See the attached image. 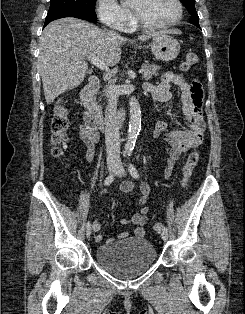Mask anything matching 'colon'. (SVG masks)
I'll return each instance as SVG.
<instances>
[{"mask_svg": "<svg viewBox=\"0 0 245 314\" xmlns=\"http://www.w3.org/2000/svg\"><path fill=\"white\" fill-rule=\"evenodd\" d=\"M198 62V56L190 52L186 55L185 59L181 64V69L183 71H188L192 66ZM68 105L63 100L60 99L56 106L54 116L51 122V144H52V154L56 158H60L67 147V129H68ZM199 161V152L197 150L192 151L182 168V186L185 187L188 183L189 178L192 176L193 171ZM163 224L155 223L153 226V231L160 233L162 231Z\"/></svg>", "mask_w": 245, "mask_h": 314, "instance_id": "1", "label": "colon"}]
</instances>
